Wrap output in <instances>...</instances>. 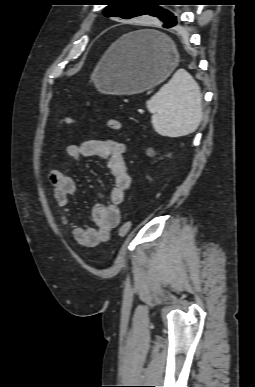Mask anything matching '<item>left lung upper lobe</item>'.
<instances>
[{
    "label": "left lung upper lobe",
    "instance_id": "5c2ea615",
    "mask_svg": "<svg viewBox=\"0 0 255 387\" xmlns=\"http://www.w3.org/2000/svg\"><path fill=\"white\" fill-rule=\"evenodd\" d=\"M110 4L103 11L107 17H120L123 19H130L151 13L152 16L158 17L164 23H168L175 19L171 12L162 9L155 4L149 3L150 0H108Z\"/></svg>",
    "mask_w": 255,
    "mask_h": 387
}]
</instances>
